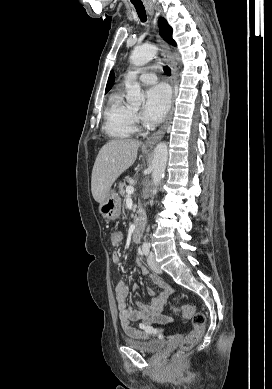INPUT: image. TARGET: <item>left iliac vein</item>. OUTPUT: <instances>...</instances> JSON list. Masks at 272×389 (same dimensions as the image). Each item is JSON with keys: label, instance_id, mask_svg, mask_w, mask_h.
I'll use <instances>...</instances> for the list:
<instances>
[{"label": "left iliac vein", "instance_id": "4c4485c4", "mask_svg": "<svg viewBox=\"0 0 272 389\" xmlns=\"http://www.w3.org/2000/svg\"><path fill=\"white\" fill-rule=\"evenodd\" d=\"M148 265L156 273H161L162 270L155 260L154 254L151 252L148 256Z\"/></svg>", "mask_w": 272, "mask_h": 389}]
</instances>
